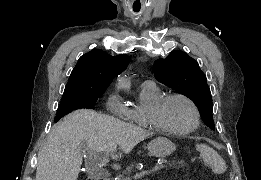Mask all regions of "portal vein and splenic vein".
Here are the masks:
<instances>
[{
  "mask_svg": "<svg viewBox=\"0 0 261 180\" xmlns=\"http://www.w3.org/2000/svg\"><path fill=\"white\" fill-rule=\"evenodd\" d=\"M102 154H104V156H109L111 152H102ZM166 166H170V161L159 162L158 165H153L150 170H143L140 174H138V172H133V177L137 179H142L147 175H151V173H156L157 170L166 169ZM125 180H131V178H125Z\"/></svg>",
  "mask_w": 261,
  "mask_h": 180,
  "instance_id": "1",
  "label": "portal vein and splenic vein"
}]
</instances>
